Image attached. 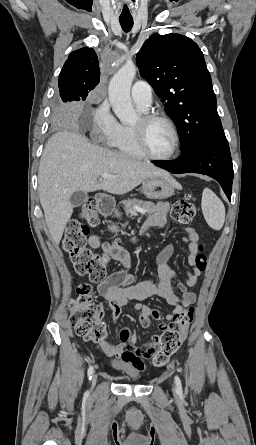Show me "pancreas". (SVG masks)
Segmentation results:
<instances>
[{
    "instance_id": "pancreas-1",
    "label": "pancreas",
    "mask_w": 256,
    "mask_h": 445,
    "mask_svg": "<svg viewBox=\"0 0 256 445\" xmlns=\"http://www.w3.org/2000/svg\"><path fill=\"white\" fill-rule=\"evenodd\" d=\"M122 204L127 212L136 211L137 208H143L147 214H152L156 210V207L152 202L142 201L135 198L124 200Z\"/></svg>"
}]
</instances>
